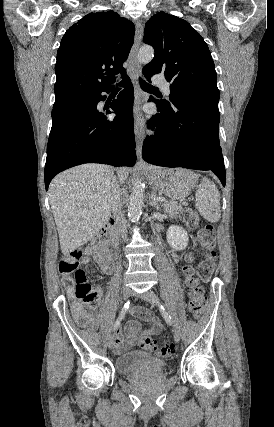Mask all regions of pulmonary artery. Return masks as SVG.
<instances>
[{
	"label": "pulmonary artery",
	"instance_id": "e3ab8cb5",
	"mask_svg": "<svg viewBox=\"0 0 274 427\" xmlns=\"http://www.w3.org/2000/svg\"><path fill=\"white\" fill-rule=\"evenodd\" d=\"M154 81L157 84H162L163 83V78L162 77H157V78H155ZM161 88H162L163 92L165 93V95L167 97H169V95H170V86L167 83H163L161 85Z\"/></svg>",
	"mask_w": 274,
	"mask_h": 427
}]
</instances>
